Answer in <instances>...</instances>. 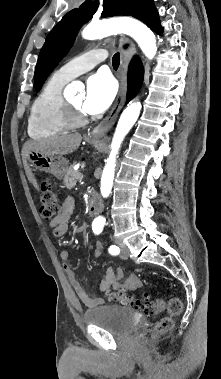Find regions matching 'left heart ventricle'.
<instances>
[{"label": "left heart ventricle", "mask_w": 221, "mask_h": 379, "mask_svg": "<svg viewBox=\"0 0 221 379\" xmlns=\"http://www.w3.org/2000/svg\"><path fill=\"white\" fill-rule=\"evenodd\" d=\"M83 97H76V98H73L70 100V102L72 104H74L75 106L81 108L82 107V104H83Z\"/></svg>", "instance_id": "1"}]
</instances>
